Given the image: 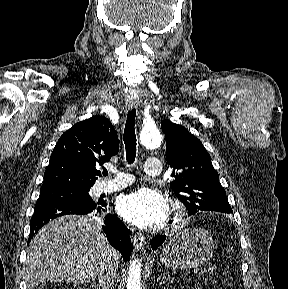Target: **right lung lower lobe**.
I'll list each match as a JSON object with an SVG mask.
<instances>
[{
	"instance_id": "1",
	"label": "right lung lower lobe",
	"mask_w": 288,
	"mask_h": 289,
	"mask_svg": "<svg viewBox=\"0 0 288 289\" xmlns=\"http://www.w3.org/2000/svg\"><path fill=\"white\" fill-rule=\"evenodd\" d=\"M105 207V202H98L94 206H81L66 202H50L35 205L34 214L31 219L29 241L32 239L33 235L51 219L67 214L83 215L91 212L100 215L105 212ZM104 223L105 226H103V231L105 232L109 243L119 250L125 261L129 260L132 244L126 226L118 217L111 214L106 215Z\"/></svg>"
}]
</instances>
